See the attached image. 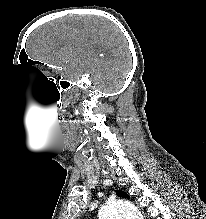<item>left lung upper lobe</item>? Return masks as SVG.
<instances>
[{"label": "left lung upper lobe", "mask_w": 206, "mask_h": 219, "mask_svg": "<svg viewBox=\"0 0 206 219\" xmlns=\"http://www.w3.org/2000/svg\"><path fill=\"white\" fill-rule=\"evenodd\" d=\"M116 194L117 196L122 197V198H129V195L126 192L121 191V190H116Z\"/></svg>", "instance_id": "obj_1"}]
</instances>
